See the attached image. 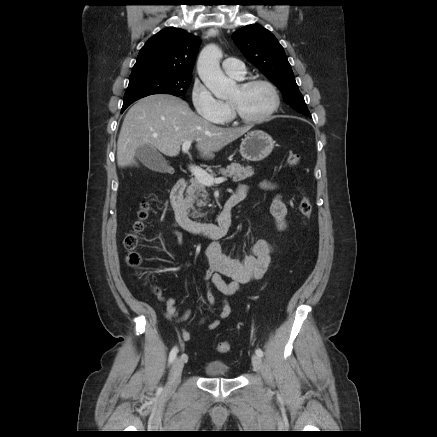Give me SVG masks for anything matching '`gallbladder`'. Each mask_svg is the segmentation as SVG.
Listing matches in <instances>:
<instances>
[{
    "instance_id": "bac80fb5",
    "label": "gallbladder",
    "mask_w": 437,
    "mask_h": 437,
    "mask_svg": "<svg viewBox=\"0 0 437 437\" xmlns=\"http://www.w3.org/2000/svg\"><path fill=\"white\" fill-rule=\"evenodd\" d=\"M135 156L147 168L156 172H165L168 169L163 156L152 146L143 145L137 148Z\"/></svg>"
}]
</instances>
